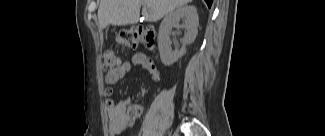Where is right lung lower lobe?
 <instances>
[{"mask_svg":"<svg viewBox=\"0 0 325 136\" xmlns=\"http://www.w3.org/2000/svg\"><path fill=\"white\" fill-rule=\"evenodd\" d=\"M205 2L207 3L208 7H211L213 0H205Z\"/></svg>","mask_w":325,"mask_h":136,"instance_id":"obj_1","label":"right lung lower lobe"}]
</instances>
